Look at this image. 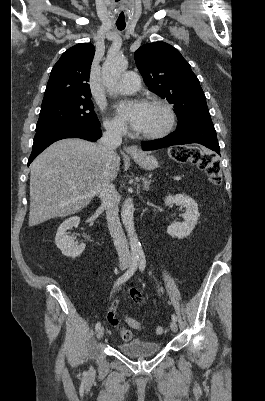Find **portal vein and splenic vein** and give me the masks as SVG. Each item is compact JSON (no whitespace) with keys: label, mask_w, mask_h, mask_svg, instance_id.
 Here are the masks:
<instances>
[{"label":"portal vein and splenic vein","mask_w":265,"mask_h":401,"mask_svg":"<svg viewBox=\"0 0 265 401\" xmlns=\"http://www.w3.org/2000/svg\"><path fill=\"white\" fill-rule=\"evenodd\" d=\"M174 180H175V181H183V180H184V177H183L182 175L175 176V177H174Z\"/></svg>","instance_id":"18ae733b"}]
</instances>
